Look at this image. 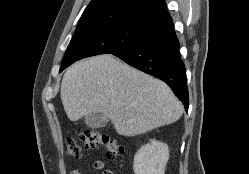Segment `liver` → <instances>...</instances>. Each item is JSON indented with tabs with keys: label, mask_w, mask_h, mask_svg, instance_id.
<instances>
[{
	"label": "liver",
	"mask_w": 249,
	"mask_h": 174,
	"mask_svg": "<svg viewBox=\"0 0 249 174\" xmlns=\"http://www.w3.org/2000/svg\"><path fill=\"white\" fill-rule=\"evenodd\" d=\"M61 101L70 121L102 113L123 136L174 123L183 113L164 82L109 54L73 64L62 79Z\"/></svg>",
	"instance_id": "liver-1"
}]
</instances>
